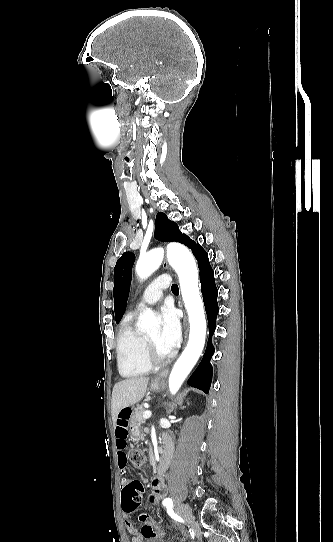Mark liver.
<instances>
[{
  "mask_svg": "<svg viewBox=\"0 0 333 542\" xmlns=\"http://www.w3.org/2000/svg\"><path fill=\"white\" fill-rule=\"evenodd\" d=\"M150 378H127L115 384L111 400V416L114 428L119 412L138 404L144 398Z\"/></svg>",
  "mask_w": 333,
  "mask_h": 542,
  "instance_id": "6515ba94",
  "label": "liver"
}]
</instances>
